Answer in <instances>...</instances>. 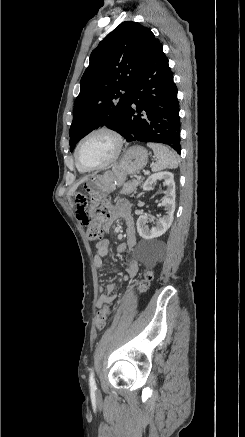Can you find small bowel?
I'll use <instances>...</instances> for the list:
<instances>
[{"label": "small bowel", "instance_id": "small-bowel-1", "mask_svg": "<svg viewBox=\"0 0 245 437\" xmlns=\"http://www.w3.org/2000/svg\"><path fill=\"white\" fill-rule=\"evenodd\" d=\"M78 207L76 209V217L78 224H84V227H89V223L91 222V216L88 208H84L87 205V202L84 199H81L78 202ZM118 218H122L126 222V241L120 243L117 247V251L120 254L131 252L136 244V231L134 220L131 216L130 212V204L127 201L119 202L112 213V216L109 220H107L104 224V230L108 231L112 222ZM109 251V241L107 239L100 240L96 244V250L94 255V264L97 268H102L104 263V257L108 254ZM139 269V264L136 258H130L128 261V265L124 271L123 280L127 281L137 275ZM115 295V285L109 284L100 289V295L98 298V306H102L108 303L112 297Z\"/></svg>", "mask_w": 245, "mask_h": 437}]
</instances>
